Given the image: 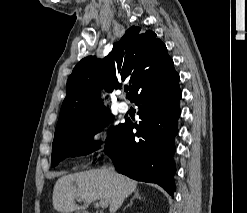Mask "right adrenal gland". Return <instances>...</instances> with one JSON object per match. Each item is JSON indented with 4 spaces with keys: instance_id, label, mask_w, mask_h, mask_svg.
Here are the masks:
<instances>
[{
    "instance_id": "right-adrenal-gland-1",
    "label": "right adrenal gland",
    "mask_w": 247,
    "mask_h": 213,
    "mask_svg": "<svg viewBox=\"0 0 247 213\" xmlns=\"http://www.w3.org/2000/svg\"><path fill=\"white\" fill-rule=\"evenodd\" d=\"M135 198L141 199V195H140V193H139L138 190H136V191L134 192V196L131 198L129 204H128L127 206H125L123 210H125L127 207L131 206V205L133 204V200H134Z\"/></svg>"
}]
</instances>
